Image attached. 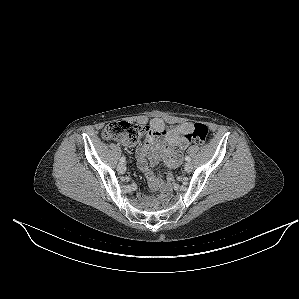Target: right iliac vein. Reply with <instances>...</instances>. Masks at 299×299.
<instances>
[{
    "instance_id": "63e3f726",
    "label": "right iliac vein",
    "mask_w": 299,
    "mask_h": 299,
    "mask_svg": "<svg viewBox=\"0 0 299 299\" xmlns=\"http://www.w3.org/2000/svg\"><path fill=\"white\" fill-rule=\"evenodd\" d=\"M117 171L120 174H124L126 172V166L124 165V163H119V165L117 166Z\"/></svg>"
}]
</instances>
